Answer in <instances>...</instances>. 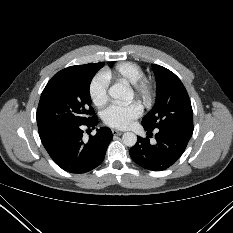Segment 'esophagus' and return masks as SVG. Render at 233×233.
I'll use <instances>...</instances> for the list:
<instances>
[{
    "mask_svg": "<svg viewBox=\"0 0 233 233\" xmlns=\"http://www.w3.org/2000/svg\"><path fill=\"white\" fill-rule=\"evenodd\" d=\"M112 134H113V135H122L123 132H122V131H119V130H117V129H112Z\"/></svg>",
    "mask_w": 233,
    "mask_h": 233,
    "instance_id": "obj_1",
    "label": "esophagus"
}]
</instances>
